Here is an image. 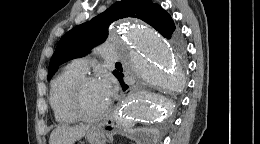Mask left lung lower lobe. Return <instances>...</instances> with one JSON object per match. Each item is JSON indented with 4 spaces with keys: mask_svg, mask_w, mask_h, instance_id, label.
<instances>
[{
    "mask_svg": "<svg viewBox=\"0 0 260 144\" xmlns=\"http://www.w3.org/2000/svg\"><path fill=\"white\" fill-rule=\"evenodd\" d=\"M174 40H175L176 42H179V41H180L179 35L176 34V35L174 36ZM116 77L119 79L120 84H121V86L123 87V91L127 90V89H128V86H127V85L123 82V80H122L123 74L119 72Z\"/></svg>",
    "mask_w": 260,
    "mask_h": 144,
    "instance_id": "left-lung-lower-lobe-1",
    "label": "left lung lower lobe"
}]
</instances>
